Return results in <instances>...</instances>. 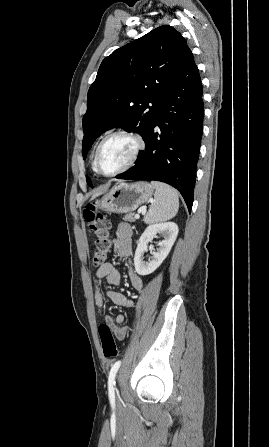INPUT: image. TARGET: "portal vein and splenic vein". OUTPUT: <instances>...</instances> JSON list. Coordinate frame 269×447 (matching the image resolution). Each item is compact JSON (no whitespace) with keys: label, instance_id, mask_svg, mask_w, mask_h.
<instances>
[{"label":"portal vein and splenic vein","instance_id":"obj_1","mask_svg":"<svg viewBox=\"0 0 269 447\" xmlns=\"http://www.w3.org/2000/svg\"><path fill=\"white\" fill-rule=\"evenodd\" d=\"M142 214H144V212H142ZM135 220H139L140 216L139 214H136V216H134Z\"/></svg>","mask_w":269,"mask_h":447}]
</instances>
